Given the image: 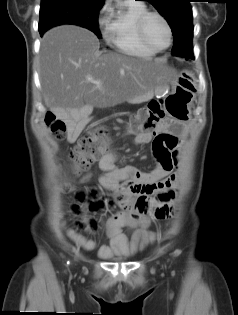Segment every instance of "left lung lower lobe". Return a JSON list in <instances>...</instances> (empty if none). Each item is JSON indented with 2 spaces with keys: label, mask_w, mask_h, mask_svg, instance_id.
Masks as SVG:
<instances>
[{
  "label": "left lung lower lobe",
  "mask_w": 238,
  "mask_h": 315,
  "mask_svg": "<svg viewBox=\"0 0 238 315\" xmlns=\"http://www.w3.org/2000/svg\"><path fill=\"white\" fill-rule=\"evenodd\" d=\"M172 54L175 56L185 57L186 59H193L192 42L182 35L174 36Z\"/></svg>",
  "instance_id": "obj_1"
}]
</instances>
